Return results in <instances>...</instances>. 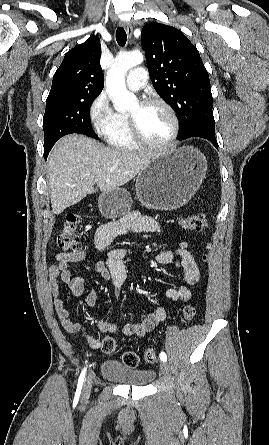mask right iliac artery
<instances>
[{"label":"right iliac artery","mask_w":269,"mask_h":445,"mask_svg":"<svg viewBox=\"0 0 269 445\" xmlns=\"http://www.w3.org/2000/svg\"><path fill=\"white\" fill-rule=\"evenodd\" d=\"M85 373H86V368L83 369V371H82V373H81V375L79 377L78 385H77V391H81V388H82V385H83V382H84V378H85Z\"/></svg>","instance_id":"82829eb1"}]
</instances>
